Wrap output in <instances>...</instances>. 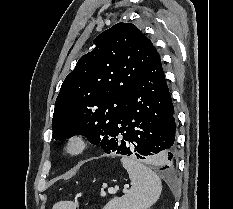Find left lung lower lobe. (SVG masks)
<instances>
[{
	"mask_svg": "<svg viewBox=\"0 0 233 209\" xmlns=\"http://www.w3.org/2000/svg\"><path fill=\"white\" fill-rule=\"evenodd\" d=\"M175 129L174 107L157 53L133 86L101 147L105 153L136 155L167 169L175 157Z\"/></svg>",
	"mask_w": 233,
	"mask_h": 209,
	"instance_id": "left-lung-lower-lobe-1",
	"label": "left lung lower lobe"
}]
</instances>
